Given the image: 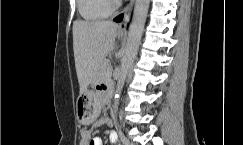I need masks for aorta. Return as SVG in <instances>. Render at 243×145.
<instances>
[{"instance_id":"762f6f07","label":"aorta","mask_w":243,"mask_h":145,"mask_svg":"<svg viewBox=\"0 0 243 145\" xmlns=\"http://www.w3.org/2000/svg\"><path fill=\"white\" fill-rule=\"evenodd\" d=\"M150 0H136L132 22L129 27L127 44L125 47L124 56L121 60L120 75L117 82L112 114L115 117L118 110L119 98L126 81L129 69L137 55L138 48L141 42V37L144 30V25L147 17Z\"/></svg>"}]
</instances>
